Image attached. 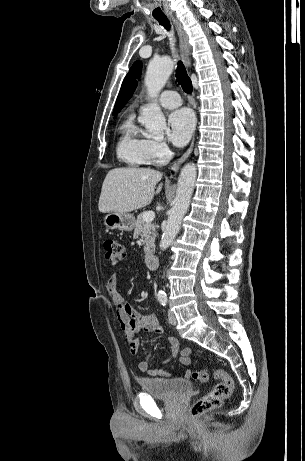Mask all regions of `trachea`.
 I'll use <instances>...</instances> for the list:
<instances>
[{
    "label": "trachea",
    "mask_w": 305,
    "mask_h": 461,
    "mask_svg": "<svg viewBox=\"0 0 305 461\" xmlns=\"http://www.w3.org/2000/svg\"><path fill=\"white\" fill-rule=\"evenodd\" d=\"M156 20L159 22L160 25L164 26L165 29L169 30L170 29V23L166 17L164 18H156ZM176 78L177 82L181 85L182 89L190 94L192 93V82L190 77L187 74V71L185 69V66L181 61L178 62V66L176 69Z\"/></svg>",
    "instance_id": "1"
}]
</instances>
